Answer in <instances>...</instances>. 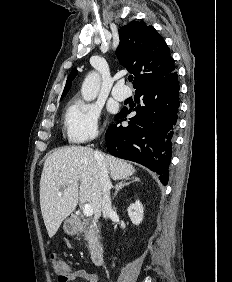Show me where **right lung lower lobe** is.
Returning <instances> with one entry per match:
<instances>
[{
	"instance_id": "right-lung-lower-lobe-1",
	"label": "right lung lower lobe",
	"mask_w": 232,
	"mask_h": 282,
	"mask_svg": "<svg viewBox=\"0 0 232 282\" xmlns=\"http://www.w3.org/2000/svg\"><path fill=\"white\" fill-rule=\"evenodd\" d=\"M135 96L137 114L126 127L109 126L105 136L107 150L113 156L146 166L159 174L160 181L166 185L179 108L177 73L173 71L137 86ZM131 111L124 108L116 118H125ZM122 121L125 119L117 123Z\"/></svg>"
}]
</instances>
